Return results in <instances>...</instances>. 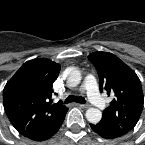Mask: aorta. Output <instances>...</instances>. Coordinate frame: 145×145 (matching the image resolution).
<instances>
[{
    "mask_svg": "<svg viewBox=\"0 0 145 145\" xmlns=\"http://www.w3.org/2000/svg\"><path fill=\"white\" fill-rule=\"evenodd\" d=\"M69 87H75L81 82V73L75 67L67 68L63 73ZM87 120L92 123H98L102 118V112L98 108L91 107L86 111Z\"/></svg>",
    "mask_w": 145,
    "mask_h": 145,
    "instance_id": "1",
    "label": "aorta"
}]
</instances>
